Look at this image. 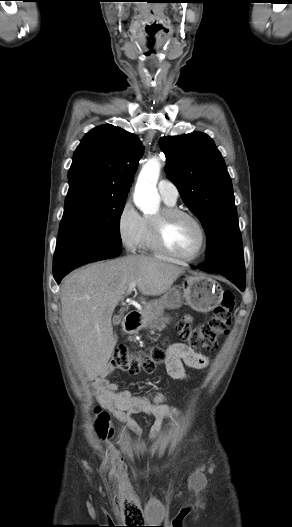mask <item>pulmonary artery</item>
Instances as JSON below:
<instances>
[{
	"mask_svg": "<svg viewBox=\"0 0 292 527\" xmlns=\"http://www.w3.org/2000/svg\"><path fill=\"white\" fill-rule=\"evenodd\" d=\"M157 188L164 200H167L170 202L177 201L178 196H179V191L177 187L175 186V184H173L171 181L167 179H161L157 184Z\"/></svg>",
	"mask_w": 292,
	"mask_h": 527,
	"instance_id": "e3ab8cb5",
	"label": "pulmonary artery"
}]
</instances>
